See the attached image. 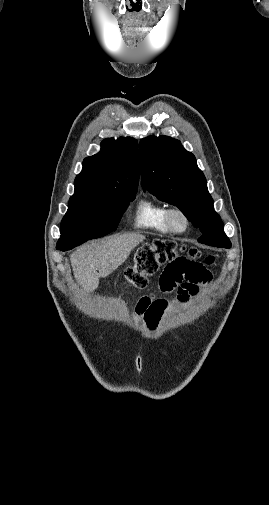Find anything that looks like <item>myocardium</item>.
<instances>
[{
	"label": "myocardium",
	"mask_w": 269,
	"mask_h": 505,
	"mask_svg": "<svg viewBox=\"0 0 269 505\" xmlns=\"http://www.w3.org/2000/svg\"><path fill=\"white\" fill-rule=\"evenodd\" d=\"M176 216H180L184 220V223H185L184 228L179 229L175 226L174 218ZM165 221H166V224H167L168 228L170 229V231L173 233H176V234L186 233L189 230L190 225H191V221H190L188 214L183 209H181L179 207L168 208L166 211V214H165Z\"/></svg>",
	"instance_id": "obj_1"
}]
</instances>
